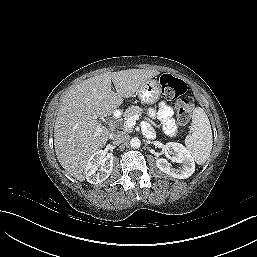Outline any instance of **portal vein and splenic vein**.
Instances as JSON below:
<instances>
[{"label":"portal vein and splenic vein","instance_id":"1","mask_svg":"<svg viewBox=\"0 0 257 257\" xmlns=\"http://www.w3.org/2000/svg\"><path fill=\"white\" fill-rule=\"evenodd\" d=\"M137 120H139V116L133 115L132 117H130L129 119L126 120V122L124 123V128L134 127Z\"/></svg>","mask_w":257,"mask_h":257}]
</instances>
